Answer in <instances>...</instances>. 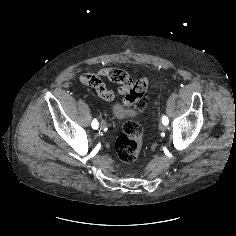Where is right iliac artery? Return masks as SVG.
Masks as SVG:
<instances>
[{
	"label": "right iliac artery",
	"mask_w": 236,
	"mask_h": 236,
	"mask_svg": "<svg viewBox=\"0 0 236 236\" xmlns=\"http://www.w3.org/2000/svg\"><path fill=\"white\" fill-rule=\"evenodd\" d=\"M91 126H92V128H93V129H97V128H98V126H99V123H98V121H97L96 119H94V120L92 121V124H91Z\"/></svg>",
	"instance_id": "obj_1"
}]
</instances>
